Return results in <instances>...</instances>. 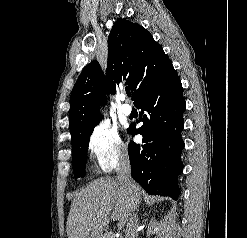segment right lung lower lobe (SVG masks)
Segmentation results:
<instances>
[{
  "label": "right lung lower lobe",
  "mask_w": 247,
  "mask_h": 238,
  "mask_svg": "<svg viewBox=\"0 0 247 238\" xmlns=\"http://www.w3.org/2000/svg\"><path fill=\"white\" fill-rule=\"evenodd\" d=\"M134 104L142 109L137 123L143 121V125L135 129V124H131L128 132L141 134L143 139L142 144L131 141L128 145L131 175L149 194L177 198V176L183 170L181 131L186 103L173 66Z\"/></svg>",
  "instance_id": "obj_1"
}]
</instances>
